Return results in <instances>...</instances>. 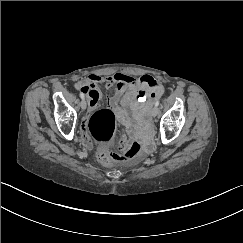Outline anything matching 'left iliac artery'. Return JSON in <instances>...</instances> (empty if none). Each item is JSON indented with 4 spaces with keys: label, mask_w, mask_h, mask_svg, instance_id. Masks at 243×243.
<instances>
[{
    "label": "left iliac artery",
    "mask_w": 243,
    "mask_h": 243,
    "mask_svg": "<svg viewBox=\"0 0 243 243\" xmlns=\"http://www.w3.org/2000/svg\"><path fill=\"white\" fill-rule=\"evenodd\" d=\"M158 105H159V101H156L155 106L158 107Z\"/></svg>",
    "instance_id": "44dca946"
}]
</instances>
